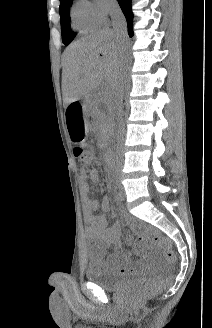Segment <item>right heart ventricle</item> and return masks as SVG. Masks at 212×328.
Segmentation results:
<instances>
[{
  "label": "right heart ventricle",
  "instance_id": "1",
  "mask_svg": "<svg viewBox=\"0 0 212 328\" xmlns=\"http://www.w3.org/2000/svg\"><path fill=\"white\" fill-rule=\"evenodd\" d=\"M71 24L74 30L84 33L94 29L100 23L91 17L86 2L79 1L71 10Z\"/></svg>",
  "mask_w": 212,
  "mask_h": 328
}]
</instances>
